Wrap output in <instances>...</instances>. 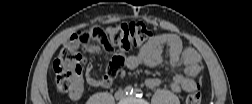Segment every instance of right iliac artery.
Instances as JSON below:
<instances>
[{
    "label": "right iliac artery",
    "mask_w": 252,
    "mask_h": 104,
    "mask_svg": "<svg viewBox=\"0 0 252 104\" xmlns=\"http://www.w3.org/2000/svg\"><path fill=\"white\" fill-rule=\"evenodd\" d=\"M133 92H134V90H133V88H132L131 86H127V87L125 88V93H126V95H132Z\"/></svg>",
    "instance_id": "obj_1"
}]
</instances>
